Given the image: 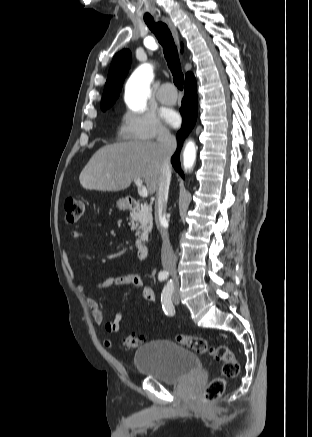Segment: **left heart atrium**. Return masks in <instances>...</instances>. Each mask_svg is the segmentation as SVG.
<instances>
[{
    "label": "left heart atrium",
    "mask_w": 312,
    "mask_h": 437,
    "mask_svg": "<svg viewBox=\"0 0 312 437\" xmlns=\"http://www.w3.org/2000/svg\"><path fill=\"white\" fill-rule=\"evenodd\" d=\"M164 119L166 120V122L168 124H170L171 126H176L179 124L180 122V116L179 114L174 111V110H168L165 114H164Z\"/></svg>",
    "instance_id": "obj_1"
}]
</instances>
